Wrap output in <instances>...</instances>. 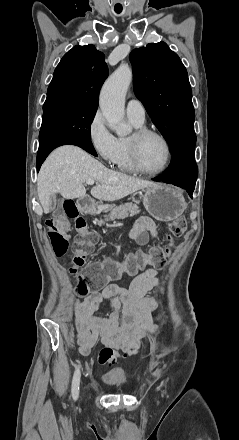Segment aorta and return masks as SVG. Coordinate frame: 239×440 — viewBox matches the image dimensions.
Listing matches in <instances>:
<instances>
[{
	"instance_id": "1",
	"label": "aorta",
	"mask_w": 239,
	"mask_h": 440,
	"mask_svg": "<svg viewBox=\"0 0 239 440\" xmlns=\"http://www.w3.org/2000/svg\"><path fill=\"white\" fill-rule=\"evenodd\" d=\"M132 82V70L128 64H121L108 80H106L101 92L99 106L106 118V122L115 130L117 136H128L132 132V126L124 122L125 96Z\"/></svg>"
}]
</instances>
